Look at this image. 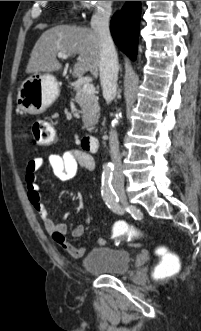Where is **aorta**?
Wrapping results in <instances>:
<instances>
[{
  "mask_svg": "<svg viewBox=\"0 0 201 331\" xmlns=\"http://www.w3.org/2000/svg\"><path fill=\"white\" fill-rule=\"evenodd\" d=\"M120 117H121V114L120 113L119 114L117 113L116 116H115V118L112 121V126H115V125H117L119 123Z\"/></svg>",
  "mask_w": 201,
  "mask_h": 331,
  "instance_id": "762f6f07",
  "label": "aorta"
}]
</instances>
